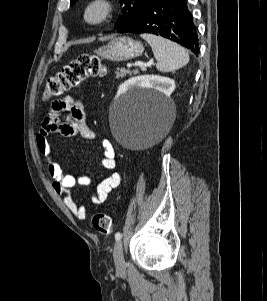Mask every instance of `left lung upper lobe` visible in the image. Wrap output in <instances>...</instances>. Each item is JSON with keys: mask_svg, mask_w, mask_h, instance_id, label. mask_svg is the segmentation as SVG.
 Returning <instances> with one entry per match:
<instances>
[{"mask_svg": "<svg viewBox=\"0 0 267 301\" xmlns=\"http://www.w3.org/2000/svg\"><path fill=\"white\" fill-rule=\"evenodd\" d=\"M77 0H71L70 4H74ZM150 0H119L123 6L122 15L118 18L115 29H119L121 26L131 22L142 10L144 5Z\"/></svg>", "mask_w": 267, "mask_h": 301, "instance_id": "obj_1", "label": "left lung upper lobe"}]
</instances>
